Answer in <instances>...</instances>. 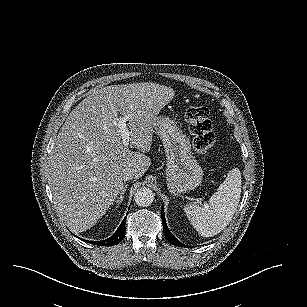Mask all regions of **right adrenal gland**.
<instances>
[{
    "instance_id": "2a0ac1e0",
    "label": "right adrenal gland",
    "mask_w": 307,
    "mask_h": 307,
    "mask_svg": "<svg viewBox=\"0 0 307 307\" xmlns=\"http://www.w3.org/2000/svg\"><path fill=\"white\" fill-rule=\"evenodd\" d=\"M127 188H128V184H126V185L124 186L123 190H122L121 193H120L119 198L115 201L116 204H117L118 206H119V204L122 203V201H123V199H124L123 194L126 192V189H127Z\"/></svg>"
}]
</instances>
